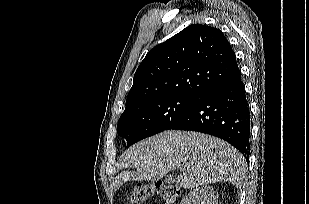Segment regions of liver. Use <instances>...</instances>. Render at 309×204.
Returning a JSON list of instances; mask_svg holds the SVG:
<instances>
[{
    "label": "liver",
    "mask_w": 309,
    "mask_h": 204,
    "mask_svg": "<svg viewBox=\"0 0 309 204\" xmlns=\"http://www.w3.org/2000/svg\"><path fill=\"white\" fill-rule=\"evenodd\" d=\"M121 167L136 171L120 173L115 190L128 180L158 181L171 170L180 171L179 187L193 189L209 183L229 181L237 188L243 184L246 161L243 155L225 141L191 131H165L129 148Z\"/></svg>",
    "instance_id": "obj_1"
}]
</instances>
